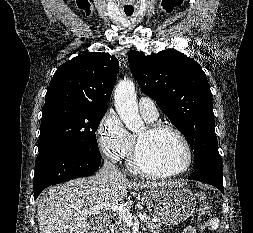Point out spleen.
Segmentation results:
<instances>
[{
	"label": "spleen",
	"mask_w": 253,
	"mask_h": 233,
	"mask_svg": "<svg viewBox=\"0 0 253 233\" xmlns=\"http://www.w3.org/2000/svg\"><path fill=\"white\" fill-rule=\"evenodd\" d=\"M209 223H210L211 228L214 230H216L219 226V220L217 217L211 218Z\"/></svg>",
	"instance_id": "obj_1"
}]
</instances>
